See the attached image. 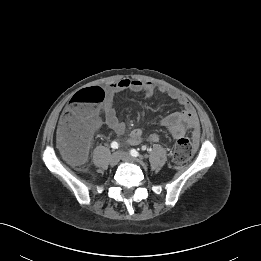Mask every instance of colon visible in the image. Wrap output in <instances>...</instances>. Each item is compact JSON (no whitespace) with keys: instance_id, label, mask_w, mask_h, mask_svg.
Wrapping results in <instances>:
<instances>
[{"instance_id":"5ec220e1","label":"colon","mask_w":261,"mask_h":261,"mask_svg":"<svg viewBox=\"0 0 261 261\" xmlns=\"http://www.w3.org/2000/svg\"><path fill=\"white\" fill-rule=\"evenodd\" d=\"M104 99L102 88L90 87L80 90L69 101L59 127V144L63 155L73 164H82L87 157L88 122ZM193 153L194 146L188 138H177L172 154L176 164L186 163Z\"/></svg>"}]
</instances>
